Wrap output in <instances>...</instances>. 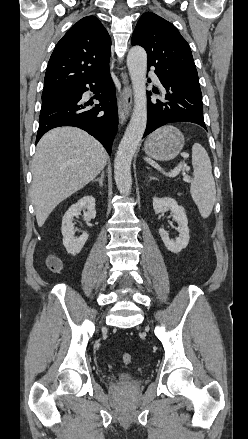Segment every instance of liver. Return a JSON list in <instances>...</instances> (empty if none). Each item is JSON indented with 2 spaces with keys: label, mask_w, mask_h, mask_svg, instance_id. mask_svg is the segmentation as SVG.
<instances>
[{
  "label": "liver",
  "mask_w": 248,
  "mask_h": 439,
  "mask_svg": "<svg viewBox=\"0 0 248 439\" xmlns=\"http://www.w3.org/2000/svg\"><path fill=\"white\" fill-rule=\"evenodd\" d=\"M107 157L104 147L78 128H55L40 139L32 161L30 190L39 227L59 203L103 170Z\"/></svg>",
  "instance_id": "1"
}]
</instances>
